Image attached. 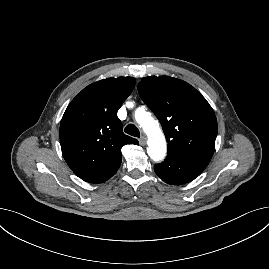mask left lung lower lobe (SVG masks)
I'll return each mask as SVG.
<instances>
[{
    "label": "left lung lower lobe",
    "mask_w": 269,
    "mask_h": 269,
    "mask_svg": "<svg viewBox=\"0 0 269 269\" xmlns=\"http://www.w3.org/2000/svg\"><path fill=\"white\" fill-rule=\"evenodd\" d=\"M211 159L180 152H168L164 162L156 164V174L166 183L179 185L198 177Z\"/></svg>",
    "instance_id": "left-lung-lower-lobe-1"
}]
</instances>
